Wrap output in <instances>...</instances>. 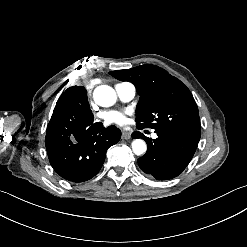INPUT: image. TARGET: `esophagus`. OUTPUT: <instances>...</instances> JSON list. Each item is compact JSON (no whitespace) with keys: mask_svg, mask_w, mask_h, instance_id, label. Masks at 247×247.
I'll return each mask as SVG.
<instances>
[{"mask_svg":"<svg viewBox=\"0 0 247 247\" xmlns=\"http://www.w3.org/2000/svg\"><path fill=\"white\" fill-rule=\"evenodd\" d=\"M130 138H131V133L130 132H127V131L122 132V139L128 140Z\"/></svg>","mask_w":247,"mask_h":247,"instance_id":"34e87169","label":"esophagus"}]
</instances>
